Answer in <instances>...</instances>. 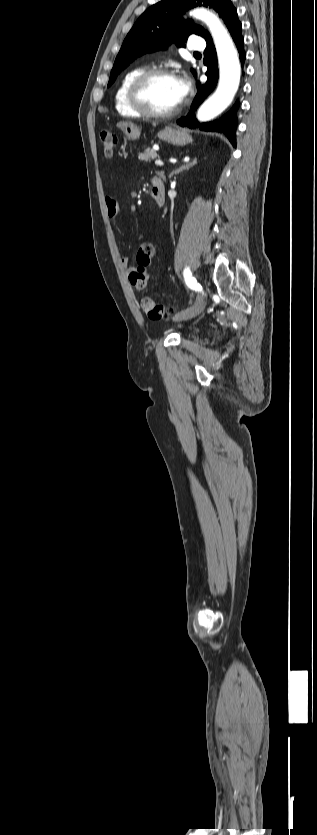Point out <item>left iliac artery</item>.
<instances>
[{
    "instance_id": "obj_1",
    "label": "left iliac artery",
    "mask_w": 317,
    "mask_h": 835,
    "mask_svg": "<svg viewBox=\"0 0 317 835\" xmlns=\"http://www.w3.org/2000/svg\"><path fill=\"white\" fill-rule=\"evenodd\" d=\"M184 278L187 286L195 291H202V286L196 281V279L192 276L191 271L188 267L184 269Z\"/></svg>"
}]
</instances>
